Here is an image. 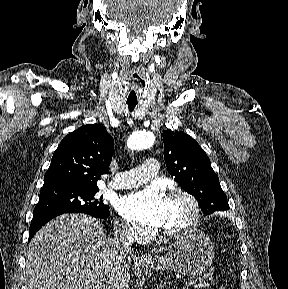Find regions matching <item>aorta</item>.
<instances>
[{
    "label": "aorta",
    "mask_w": 288,
    "mask_h": 289,
    "mask_svg": "<svg viewBox=\"0 0 288 289\" xmlns=\"http://www.w3.org/2000/svg\"><path fill=\"white\" fill-rule=\"evenodd\" d=\"M154 142V136L150 132H134L127 141L131 150H140L150 147Z\"/></svg>",
    "instance_id": "aorta-1"
}]
</instances>
